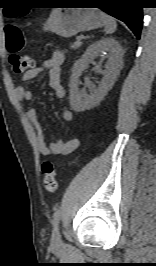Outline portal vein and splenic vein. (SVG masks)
<instances>
[{"label": "portal vein and splenic vein", "mask_w": 156, "mask_h": 266, "mask_svg": "<svg viewBox=\"0 0 156 266\" xmlns=\"http://www.w3.org/2000/svg\"><path fill=\"white\" fill-rule=\"evenodd\" d=\"M81 39H82L81 36H78V37H77V41H80Z\"/></svg>", "instance_id": "obj_1"}]
</instances>
